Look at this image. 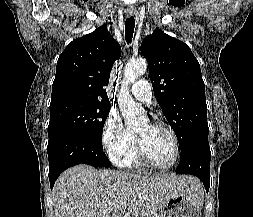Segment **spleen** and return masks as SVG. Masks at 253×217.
I'll return each instance as SVG.
<instances>
[{"mask_svg": "<svg viewBox=\"0 0 253 217\" xmlns=\"http://www.w3.org/2000/svg\"><path fill=\"white\" fill-rule=\"evenodd\" d=\"M201 202L203 203V197L201 198Z\"/></svg>", "mask_w": 253, "mask_h": 217, "instance_id": "obj_1", "label": "spleen"}]
</instances>
